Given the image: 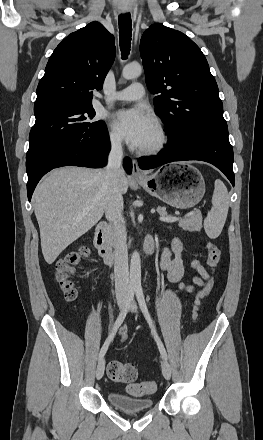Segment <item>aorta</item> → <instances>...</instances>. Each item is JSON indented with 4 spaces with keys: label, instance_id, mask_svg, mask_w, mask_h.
<instances>
[{
    "label": "aorta",
    "instance_id": "1",
    "mask_svg": "<svg viewBox=\"0 0 263 440\" xmlns=\"http://www.w3.org/2000/svg\"><path fill=\"white\" fill-rule=\"evenodd\" d=\"M142 73V67L138 63H131L123 68L122 76L126 80L139 77ZM130 284L134 287H141V259L139 252L134 251L130 262Z\"/></svg>",
    "mask_w": 263,
    "mask_h": 440
}]
</instances>
